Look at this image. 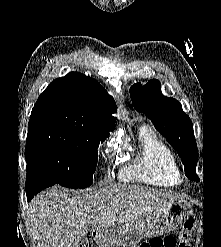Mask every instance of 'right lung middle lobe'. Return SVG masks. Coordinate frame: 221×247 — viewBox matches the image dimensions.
<instances>
[{
    "instance_id": "dd1d6c3e",
    "label": "right lung middle lobe",
    "mask_w": 221,
    "mask_h": 247,
    "mask_svg": "<svg viewBox=\"0 0 221 247\" xmlns=\"http://www.w3.org/2000/svg\"><path fill=\"white\" fill-rule=\"evenodd\" d=\"M105 139L66 128L29 129L27 169L36 170L64 187L86 188L93 183L97 149Z\"/></svg>"
}]
</instances>
